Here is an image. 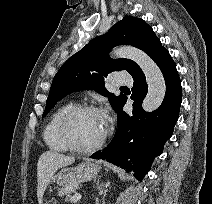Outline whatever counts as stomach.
<instances>
[{
  "instance_id": "stomach-1",
  "label": "stomach",
  "mask_w": 212,
  "mask_h": 204,
  "mask_svg": "<svg viewBox=\"0 0 212 204\" xmlns=\"http://www.w3.org/2000/svg\"><path fill=\"white\" fill-rule=\"evenodd\" d=\"M100 170V165L93 161H87L76 167H63L55 174L54 180L58 185L68 187L78 185L81 182L94 179Z\"/></svg>"
}]
</instances>
